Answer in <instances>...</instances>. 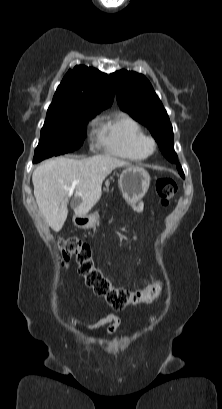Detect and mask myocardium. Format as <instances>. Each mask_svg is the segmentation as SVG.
<instances>
[{"instance_id":"myocardium-1","label":"myocardium","mask_w":222,"mask_h":409,"mask_svg":"<svg viewBox=\"0 0 222 409\" xmlns=\"http://www.w3.org/2000/svg\"><path fill=\"white\" fill-rule=\"evenodd\" d=\"M142 145L147 155L153 153L157 147L155 139L151 136H145Z\"/></svg>"}]
</instances>
